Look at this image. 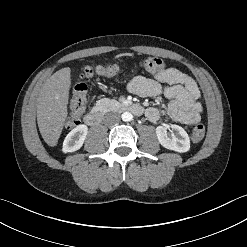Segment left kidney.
I'll return each instance as SVG.
<instances>
[{"instance_id": "left-kidney-1", "label": "left kidney", "mask_w": 247, "mask_h": 247, "mask_svg": "<svg viewBox=\"0 0 247 247\" xmlns=\"http://www.w3.org/2000/svg\"><path fill=\"white\" fill-rule=\"evenodd\" d=\"M171 132H168L169 129ZM159 143L166 149L185 153L190 149V139L187 132L178 125L162 124L156 128Z\"/></svg>"}]
</instances>
